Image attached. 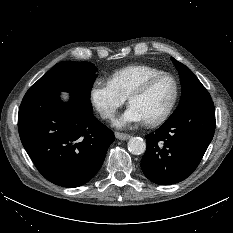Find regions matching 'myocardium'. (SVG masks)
Listing matches in <instances>:
<instances>
[{
	"label": "myocardium",
	"mask_w": 233,
	"mask_h": 233,
	"mask_svg": "<svg viewBox=\"0 0 233 233\" xmlns=\"http://www.w3.org/2000/svg\"><path fill=\"white\" fill-rule=\"evenodd\" d=\"M162 78H169L173 82L174 94H173L170 104L168 105L167 109L164 111L162 115H160L159 117L155 119L145 121V123L149 126H157V125L163 124L172 114L177 104L179 93H180V87H179L178 80L175 78V76H173L170 73H167V72L158 73V74H155V75H152L146 78L128 96V103L130 104L134 98L145 94L155 82H157L158 80Z\"/></svg>",
	"instance_id": "obj_1"
}]
</instances>
